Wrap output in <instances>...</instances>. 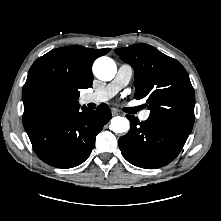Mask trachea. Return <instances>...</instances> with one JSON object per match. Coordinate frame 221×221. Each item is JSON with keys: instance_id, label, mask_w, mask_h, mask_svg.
I'll list each match as a JSON object with an SVG mask.
<instances>
[{"instance_id": "1", "label": "trachea", "mask_w": 221, "mask_h": 221, "mask_svg": "<svg viewBox=\"0 0 221 221\" xmlns=\"http://www.w3.org/2000/svg\"><path fill=\"white\" fill-rule=\"evenodd\" d=\"M140 110V107H134V108H130V113H135V112H137V111H139Z\"/></svg>"}]
</instances>
